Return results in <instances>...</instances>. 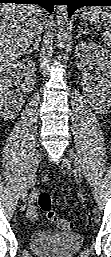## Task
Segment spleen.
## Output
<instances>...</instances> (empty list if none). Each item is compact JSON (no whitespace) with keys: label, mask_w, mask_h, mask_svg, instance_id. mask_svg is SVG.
Here are the masks:
<instances>
[{"label":"spleen","mask_w":111,"mask_h":257,"mask_svg":"<svg viewBox=\"0 0 111 257\" xmlns=\"http://www.w3.org/2000/svg\"><path fill=\"white\" fill-rule=\"evenodd\" d=\"M99 18H101L102 21H107L109 24H111V7H92L90 20L96 23V20ZM103 36L104 39L111 44V33L106 31L103 33Z\"/></svg>","instance_id":"1"}]
</instances>
